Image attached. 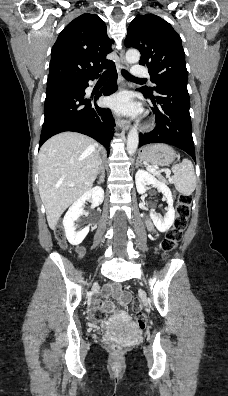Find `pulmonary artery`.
<instances>
[{
    "mask_svg": "<svg viewBox=\"0 0 228 396\" xmlns=\"http://www.w3.org/2000/svg\"><path fill=\"white\" fill-rule=\"evenodd\" d=\"M133 75L136 78H144L149 77V72L143 67L135 66L133 68Z\"/></svg>",
    "mask_w": 228,
    "mask_h": 396,
    "instance_id": "1",
    "label": "pulmonary artery"
}]
</instances>
